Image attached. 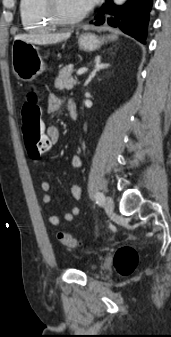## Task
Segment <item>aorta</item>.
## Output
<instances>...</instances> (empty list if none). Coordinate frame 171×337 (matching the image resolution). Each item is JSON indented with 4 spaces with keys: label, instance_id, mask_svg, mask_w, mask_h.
<instances>
[{
    "label": "aorta",
    "instance_id": "aorta-1",
    "mask_svg": "<svg viewBox=\"0 0 171 337\" xmlns=\"http://www.w3.org/2000/svg\"><path fill=\"white\" fill-rule=\"evenodd\" d=\"M125 1H126V0H114V3H115L116 5H122V4H124Z\"/></svg>",
    "mask_w": 171,
    "mask_h": 337
}]
</instances>
